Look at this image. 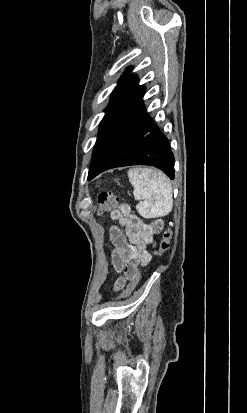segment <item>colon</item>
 Listing matches in <instances>:
<instances>
[{
  "mask_svg": "<svg viewBox=\"0 0 247 413\" xmlns=\"http://www.w3.org/2000/svg\"><path fill=\"white\" fill-rule=\"evenodd\" d=\"M118 203H119V197L112 193L102 192L98 196V204H99L101 214L107 213L109 211H114L117 208ZM171 237H172V231L170 229H166L162 233L161 241L158 247L156 248V250L154 251V254H160V253H163L169 250L170 244H171ZM139 278H140V270H139V274L136 277H133V281L127 285L125 293H121L122 298H127L131 295L132 291L135 289L137 282L139 281Z\"/></svg>",
  "mask_w": 247,
  "mask_h": 413,
  "instance_id": "obj_1",
  "label": "colon"
}]
</instances>
